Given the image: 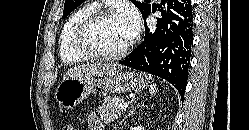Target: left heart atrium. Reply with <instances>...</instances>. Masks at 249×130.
<instances>
[{
	"mask_svg": "<svg viewBox=\"0 0 249 130\" xmlns=\"http://www.w3.org/2000/svg\"><path fill=\"white\" fill-rule=\"evenodd\" d=\"M117 15L126 27L130 40L133 39L139 31V17L137 12L130 6H124Z\"/></svg>",
	"mask_w": 249,
	"mask_h": 130,
	"instance_id": "1",
	"label": "left heart atrium"
}]
</instances>
